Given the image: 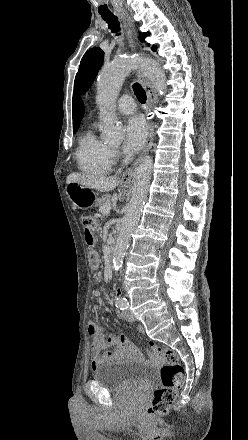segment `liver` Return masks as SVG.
Here are the masks:
<instances>
[{
  "mask_svg": "<svg viewBox=\"0 0 248 440\" xmlns=\"http://www.w3.org/2000/svg\"><path fill=\"white\" fill-rule=\"evenodd\" d=\"M67 184L79 183L91 189H96L101 192H108L115 189L119 184L117 177H105L88 175L81 173H71L66 180Z\"/></svg>",
  "mask_w": 248,
  "mask_h": 440,
  "instance_id": "obj_1",
  "label": "liver"
}]
</instances>
